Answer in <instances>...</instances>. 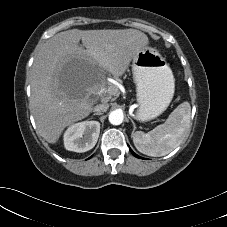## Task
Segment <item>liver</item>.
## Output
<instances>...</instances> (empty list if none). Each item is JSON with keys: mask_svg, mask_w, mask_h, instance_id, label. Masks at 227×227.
<instances>
[{"mask_svg": "<svg viewBox=\"0 0 227 227\" xmlns=\"http://www.w3.org/2000/svg\"><path fill=\"white\" fill-rule=\"evenodd\" d=\"M80 40L85 48L79 46ZM148 43L147 35L136 29H72L47 40L31 69L30 107L39 135L54 144L67 126L87 117L93 109V94L113 93V88L94 77L96 66L118 78ZM72 59L86 62L93 73L90 87L79 94L65 91L58 80L61 66Z\"/></svg>", "mask_w": 227, "mask_h": 227, "instance_id": "liver-1", "label": "liver"}]
</instances>
